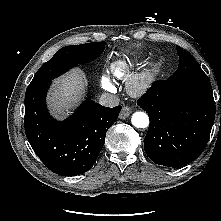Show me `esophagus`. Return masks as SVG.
<instances>
[{
  "mask_svg": "<svg viewBox=\"0 0 221 221\" xmlns=\"http://www.w3.org/2000/svg\"><path fill=\"white\" fill-rule=\"evenodd\" d=\"M131 109L128 106H124L119 114L120 119H126L131 114Z\"/></svg>",
  "mask_w": 221,
  "mask_h": 221,
  "instance_id": "34e87169",
  "label": "esophagus"
}]
</instances>
